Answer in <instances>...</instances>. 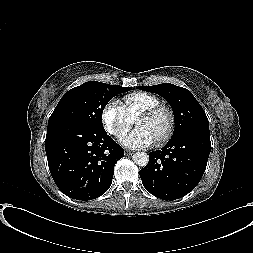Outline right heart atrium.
<instances>
[{
  "instance_id": "1",
  "label": "right heart atrium",
  "mask_w": 253,
  "mask_h": 253,
  "mask_svg": "<svg viewBox=\"0 0 253 253\" xmlns=\"http://www.w3.org/2000/svg\"><path fill=\"white\" fill-rule=\"evenodd\" d=\"M101 120L106 131L122 138L131 128L133 121L118 100L109 101L101 112Z\"/></svg>"
}]
</instances>
